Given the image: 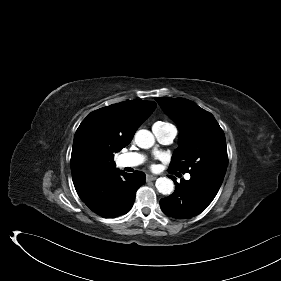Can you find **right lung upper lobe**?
Wrapping results in <instances>:
<instances>
[{
  "label": "right lung upper lobe",
  "mask_w": 281,
  "mask_h": 281,
  "mask_svg": "<svg viewBox=\"0 0 281 281\" xmlns=\"http://www.w3.org/2000/svg\"><path fill=\"white\" fill-rule=\"evenodd\" d=\"M156 108L153 101L131 100L91 112L78 127L71 154L76 191L115 170L114 153L127 146Z\"/></svg>",
  "instance_id": "right-lung-upper-lobe-1"
}]
</instances>
